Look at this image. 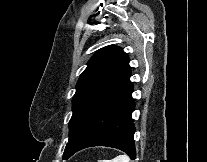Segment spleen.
<instances>
[{
    "label": "spleen",
    "mask_w": 207,
    "mask_h": 162,
    "mask_svg": "<svg viewBox=\"0 0 207 162\" xmlns=\"http://www.w3.org/2000/svg\"><path fill=\"white\" fill-rule=\"evenodd\" d=\"M98 162H131L127 155H118L112 160H99Z\"/></svg>",
    "instance_id": "3e777b00"
}]
</instances>
